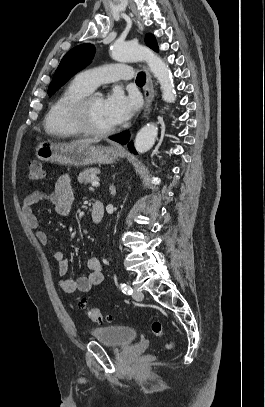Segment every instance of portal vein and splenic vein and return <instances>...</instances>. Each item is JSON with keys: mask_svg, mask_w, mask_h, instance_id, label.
Returning a JSON list of instances; mask_svg holds the SVG:
<instances>
[{"mask_svg": "<svg viewBox=\"0 0 265 407\" xmlns=\"http://www.w3.org/2000/svg\"><path fill=\"white\" fill-rule=\"evenodd\" d=\"M99 185H100V183H99L98 180H94V181L92 182V186H93V187H98Z\"/></svg>", "mask_w": 265, "mask_h": 407, "instance_id": "18ae733b", "label": "portal vein and splenic vein"}]
</instances>
